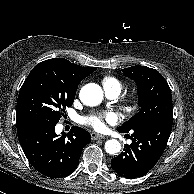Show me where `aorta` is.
<instances>
[{
    "label": "aorta",
    "mask_w": 194,
    "mask_h": 194,
    "mask_svg": "<svg viewBox=\"0 0 194 194\" xmlns=\"http://www.w3.org/2000/svg\"><path fill=\"white\" fill-rule=\"evenodd\" d=\"M79 97L83 104L97 106L102 102L103 91L99 85L89 83L81 88ZM105 150L108 154H117L121 150V144L116 139L108 140L105 143Z\"/></svg>",
    "instance_id": "obj_1"
}]
</instances>
